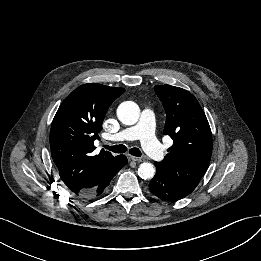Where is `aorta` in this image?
Returning <instances> with one entry per match:
<instances>
[{
    "label": "aorta",
    "mask_w": 261,
    "mask_h": 261,
    "mask_svg": "<svg viewBox=\"0 0 261 261\" xmlns=\"http://www.w3.org/2000/svg\"><path fill=\"white\" fill-rule=\"evenodd\" d=\"M140 115L139 106L132 101H125L118 106L117 117L125 125L135 124ZM138 175L142 179H151L155 175V168L151 163L144 162L139 165Z\"/></svg>",
    "instance_id": "1"
}]
</instances>
